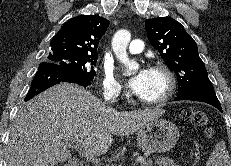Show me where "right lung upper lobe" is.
I'll list each match as a JSON object with an SVG mask.
<instances>
[{
	"label": "right lung upper lobe",
	"mask_w": 231,
	"mask_h": 166,
	"mask_svg": "<svg viewBox=\"0 0 231 166\" xmlns=\"http://www.w3.org/2000/svg\"><path fill=\"white\" fill-rule=\"evenodd\" d=\"M109 21L97 15L69 19L50 42L48 55L97 57Z\"/></svg>",
	"instance_id": "obj_1"
}]
</instances>
